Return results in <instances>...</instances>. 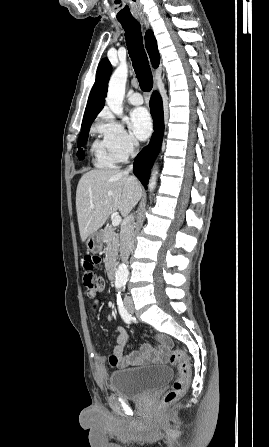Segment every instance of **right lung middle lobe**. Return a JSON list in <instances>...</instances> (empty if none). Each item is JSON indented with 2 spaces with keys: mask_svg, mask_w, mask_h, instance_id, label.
I'll use <instances>...</instances> for the list:
<instances>
[{
  "mask_svg": "<svg viewBox=\"0 0 269 447\" xmlns=\"http://www.w3.org/2000/svg\"><path fill=\"white\" fill-rule=\"evenodd\" d=\"M91 124L92 123L85 124V125H83L81 127V133H80L79 138H78V148L79 149H78V152H77V156L81 160L84 159V157H85L84 151H83V149L81 147L84 146L86 144V142H87L88 132H89Z\"/></svg>",
  "mask_w": 269,
  "mask_h": 447,
  "instance_id": "1",
  "label": "right lung middle lobe"
}]
</instances>
